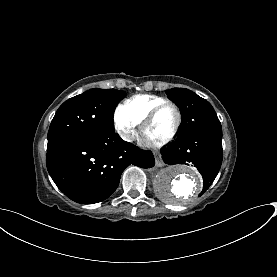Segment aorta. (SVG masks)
<instances>
[{"instance_id":"obj_1","label":"aorta","mask_w":277,"mask_h":277,"mask_svg":"<svg viewBox=\"0 0 277 277\" xmlns=\"http://www.w3.org/2000/svg\"><path fill=\"white\" fill-rule=\"evenodd\" d=\"M154 186L163 201L184 203L202 191V178L193 168L176 165L162 169L156 175Z\"/></svg>"}]
</instances>
